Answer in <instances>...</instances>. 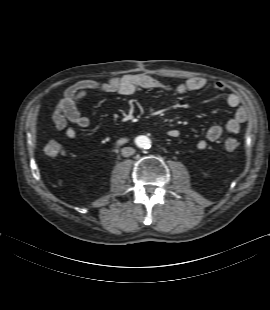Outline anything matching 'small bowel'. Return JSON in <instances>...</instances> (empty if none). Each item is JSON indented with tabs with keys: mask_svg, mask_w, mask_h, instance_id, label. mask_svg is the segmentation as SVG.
<instances>
[{
	"mask_svg": "<svg viewBox=\"0 0 270 310\" xmlns=\"http://www.w3.org/2000/svg\"><path fill=\"white\" fill-rule=\"evenodd\" d=\"M207 84L205 78L194 77L184 81L176 86H170L162 83L154 77L145 73H130L119 77L110 78L105 81L85 79L80 80L70 86L59 100L53 113L54 125L58 130L65 132L69 139L77 137L76 127L87 128L90 125V119L80 111V105L85 96L90 91L102 93L117 92L123 96L132 95L138 88L143 89H162L173 91L177 94H184L203 89ZM215 90L225 91L227 88L222 82L213 84ZM227 104L235 109L233 117L224 125L211 126L204 139L197 142L198 149H204L208 142L217 141L224 132L236 134L240 131L241 125L247 120L248 112L241 104V98L237 93H230L226 98ZM68 122L73 126H69ZM168 135L171 138H177L180 132L177 129H170Z\"/></svg>",
	"mask_w": 270,
	"mask_h": 310,
	"instance_id": "small-bowel-1",
	"label": "small bowel"
}]
</instances>
